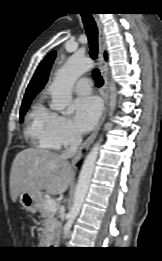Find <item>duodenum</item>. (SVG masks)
Instances as JSON below:
<instances>
[{"label":"duodenum","instance_id":"1","mask_svg":"<svg viewBox=\"0 0 162 261\" xmlns=\"http://www.w3.org/2000/svg\"><path fill=\"white\" fill-rule=\"evenodd\" d=\"M54 244H55V237L51 235L48 237L47 245L52 246Z\"/></svg>","mask_w":162,"mask_h":261}]
</instances>
